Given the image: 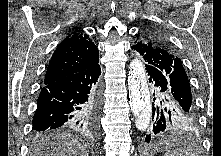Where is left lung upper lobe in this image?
<instances>
[{"label":"left lung upper lobe","instance_id":"1","mask_svg":"<svg viewBox=\"0 0 221 156\" xmlns=\"http://www.w3.org/2000/svg\"><path fill=\"white\" fill-rule=\"evenodd\" d=\"M132 47L146 63L145 67H154L166 72L171 79V92L177 102L187 111L196 112L190 83L182 66V61L175 54L167 41L152 29L137 34Z\"/></svg>","mask_w":221,"mask_h":156}]
</instances>
